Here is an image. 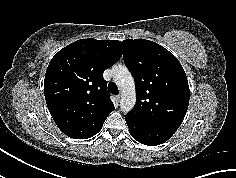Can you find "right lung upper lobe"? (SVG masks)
Masks as SVG:
<instances>
[{"instance_id":"cb5924a9","label":"right lung upper lobe","mask_w":236,"mask_h":178,"mask_svg":"<svg viewBox=\"0 0 236 178\" xmlns=\"http://www.w3.org/2000/svg\"><path fill=\"white\" fill-rule=\"evenodd\" d=\"M122 56V42L81 39L51 59L44 81L48 110L74 139L96 135L115 109L103 72Z\"/></svg>"}]
</instances>
